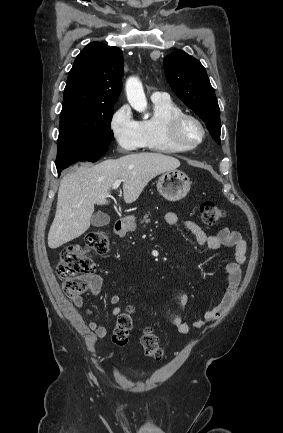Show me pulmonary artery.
Returning a JSON list of instances; mask_svg holds the SVG:
<instances>
[{
  "mask_svg": "<svg viewBox=\"0 0 283 433\" xmlns=\"http://www.w3.org/2000/svg\"><path fill=\"white\" fill-rule=\"evenodd\" d=\"M165 98L164 93H160V92H153L151 94V100L155 101V100H159V99H163Z\"/></svg>",
  "mask_w": 283,
  "mask_h": 433,
  "instance_id": "e3ab8cb5",
  "label": "pulmonary artery"
}]
</instances>
